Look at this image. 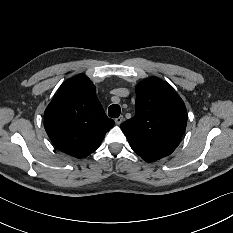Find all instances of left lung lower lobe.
<instances>
[{
    "instance_id": "left-lung-lower-lobe-1",
    "label": "left lung lower lobe",
    "mask_w": 233,
    "mask_h": 233,
    "mask_svg": "<svg viewBox=\"0 0 233 233\" xmlns=\"http://www.w3.org/2000/svg\"><path fill=\"white\" fill-rule=\"evenodd\" d=\"M145 161H148V162H151V161H155V160H153V159H151V158H148V157H142Z\"/></svg>"
}]
</instances>
